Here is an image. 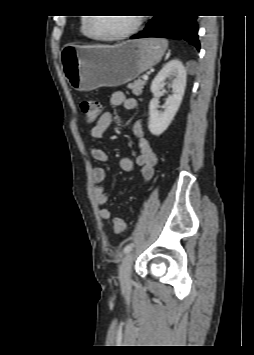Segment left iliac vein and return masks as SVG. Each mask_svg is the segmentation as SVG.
I'll use <instances>...</instances> for the list:
<instances>
[{"label": "left iliac vein", "instance_id": "left-iliac-vein-1", "mask_svg": "<svg viewBox=\"0 0 254 355\" xmlns=\"http://www.w3.org/2000/svg\"><path fill=\"white\" fill-rule=\"evenodd\" d=\"M133 259V254L128 253L120 266L119 270V281L122 286H126L131 281V262Z\"/></svg>", "mask_w": 254, "mask_h": 355}]
</instances>
